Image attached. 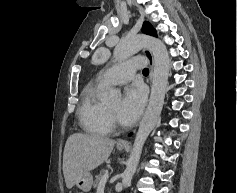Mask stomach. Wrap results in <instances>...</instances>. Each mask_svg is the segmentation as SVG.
Segmentation results:
<instances>
[{"label": "stomach", "mask_w": 237, "mask_h": 193, "mask_svg": "<svg viewBox=\"0 0 237 193\" xmlns=\"http://www.w3.org/2000/svg\"><path fill=\"white\" fill-rule=\"evenodd\" d=\"M125 147L117 145L118 150H123ZM93 184V177L90 172H86L77 182L76 185L81 190L87 192L91 189Z\"/></svg>", "instance_id": "1"}]
</instances>
